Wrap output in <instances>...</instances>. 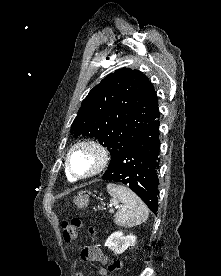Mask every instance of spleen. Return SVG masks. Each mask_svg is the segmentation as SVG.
<instances>
[{
	"mask_svg": "<svg viewBox=\"0 0 221 276\" xmlns=\"http://www.w3.org/2000/svg\"><path fill=\"white\" fill-rule=\"evenodd\" d=\"M107 191L110 196L124 204V206L119 209L114 216V222L116 225L122 227H133L144 223L148 219V208L129 188L109 183L107 185Z\"/></svg>",
	"mask_w": 221,
	"mask_h": 276,
	"instance_id": "3e777b00",
	"label": "spleen"
}]
</instances>
